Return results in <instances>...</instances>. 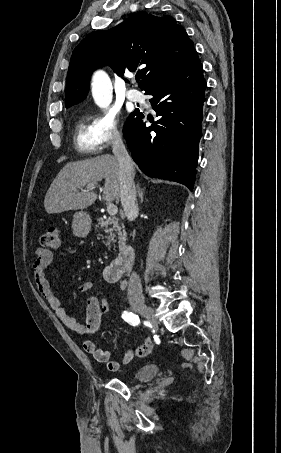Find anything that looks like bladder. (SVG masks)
<instances>
[{
  "label": "bladder",
  "mask_w": 281,
  "mask_h": 453,
  "mask_svg": "<svg viewBox=\"0 0 281 453\" xmlns=\"http://www.w3.org/2000/svg\"><path fill=\"white\" fill-rule=\"evenodd\" d=\"M160 371L157 364H147L138 368L132 375L134 380L145 381L156 376Z\"/></svg>",
  "instance_id": "1"
}]
</instances>
